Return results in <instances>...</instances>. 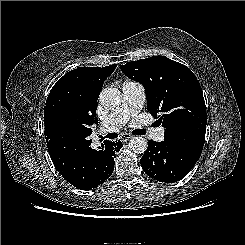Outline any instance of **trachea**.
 <instances>
[{
    "label": "trachea",
    "mask_w": 245,
    "mask_h": 245,
    "mask_svg": "<svg viewBox=\"0 0 245 245\" xmlns=\"http://www.w3.org/2000/svg\"><path fill=\"white\" fill-rule=\"evenodd\" d=\"M146 133V129H137L135 130L134 134H139V135H144ZM101 139H104V138H109V139H115L118 137V134L117 133H108L105 137L103 136H100Z\"/></svg>",
    "instance_id": "trachea-1"
}]
</instances>
